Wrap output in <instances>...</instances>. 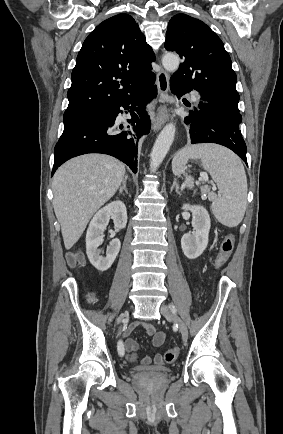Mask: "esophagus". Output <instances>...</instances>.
I'll return each mask as SVG.
<instances>
[{
	"instance_id": "1",
	"label": "esophagus",
	"mask_w": 283,
	"mask_h": 434,
	"mask_svg": "<svg viewBox=\"0 0 283 434\" xmlns=\"http://www.w3.org/2000/svg\"><path fill=\"white\" fill-rule=\"evenodd\" d=\"M157 87L160 94L161 105L158 108L156 117L152 120V130L158 131L164 123L168 120L167 106L165 104L164 97L168 95L169 92V75L166 71L161 69L157 74Z\"/></svg>"
}]
</instances>
